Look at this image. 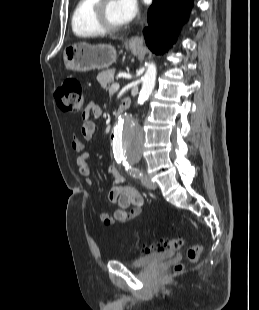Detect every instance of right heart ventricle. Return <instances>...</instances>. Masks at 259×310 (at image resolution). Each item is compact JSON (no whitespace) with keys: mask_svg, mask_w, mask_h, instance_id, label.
Segmentation results:
<instances>
[{"mask_svg":"<svg viewBox=\"0 0 259 310\" xmlns=\"http://www.w3.org/2000/svg\"><path fill=\"white\" fill-rule=\"evenodd\" d=\"M96 1L78 0L71 19L72 30L78 37H95L102 33L92 19V8Z\"/></svg>","mask_w":259,"mask_h":310,"instance_id":"obj_1","label":"right heart ventricle"}]
</instances>
